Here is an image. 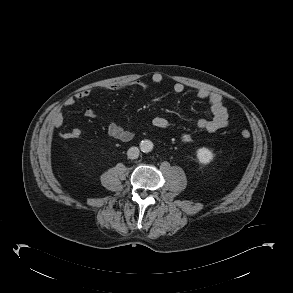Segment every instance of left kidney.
<instances>
[{"mask_svg": "<svg viewBox=\"0 0 293 293\" xmlns=\"http://www.w3.org/2000/svg\"><path fill=\"white\" fill-rule=\"evenodd\" d=\"M196 153L199 162L205 165L209 164L214 157L213 152L206 147L199 148Z\"/></svg>", "mask_w": 293, "mask_h": 293, "instance_id": "left-kidney-1", "label": "left kidney"}]
</instances>
